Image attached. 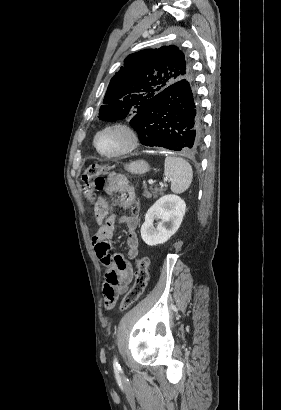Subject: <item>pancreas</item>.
Here are the masks:
<instances>
[{"label": "pancreas", "instance_id": "obj_1", "mask_svg": "<svg viewBox=\"0 0 281 410\" xmlns=\"http://www.w3.org/2000/svg\"><path fill=\"white\" fill-rule=\"evenodd\" d=\"M144 193L143 196L146 198H151L153 197H158L159 195L163 194L164 189L163 188H152L151 191L149 192L146 188V186L144 187Z\"/></svg>", "mask_w": 281, "mask_h": 410}]
</instances>
